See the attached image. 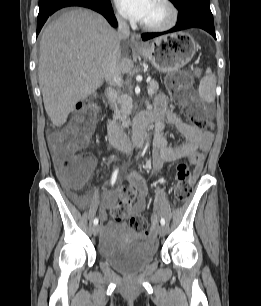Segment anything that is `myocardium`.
<instances>
[{
	"mask_svg": "<svg viewBox=\"0 0 261 306\" xmlns=\"http://www.w3.org/2000/svg\"><path fill=\"white\" fill-rule=\"evenodd\" d=\"M167 12V17L164 21L159 23H144L141 22L140 26L150 32H162L173 28L179 18V12L175 4L171 0H157Z\"/></svg>",
	"mask_w": 261,
	"mask_h": 306,
	"instance_id": "1",
	"label": "myocardium"
}]
</instances>
